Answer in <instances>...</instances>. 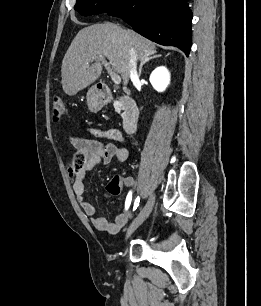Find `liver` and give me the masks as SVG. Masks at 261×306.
I'll return each mask as SVG.
<instances>
[{"mask_svg":"<svg viewBox=\"0 0 261 306\" xmlns=\"http://www.w3.org/2000/svg\"><path fill=\"white\" fill-rule=\"evenodd\" d=\"M142 60L156 53L155 44L132 30L112 23L94 24L81 29L69 46L61 67L62 88L73 96L94 83L102 73L107 58L119 73L123 84L129 82V51Z\"/></svg>","mask_w":261,"mask_h":306,"instance_id":"1","label":"liver"}]
</instances>
